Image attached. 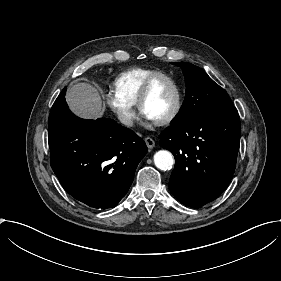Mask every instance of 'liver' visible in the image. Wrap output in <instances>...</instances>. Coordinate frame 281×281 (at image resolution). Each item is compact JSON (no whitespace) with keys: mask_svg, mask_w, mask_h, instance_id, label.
I'll return each mask as SVG.
<instances>
[{"mask_svg":"<svg viewBox=\"0 0 281 281\" xmlns=\"http://www.w3.org/2000/svg\"><path fill=\"white\" fill-rule=\"evenodd\" d=\"M69 110L80 119L97 120L103 118L105 110L99 90L90 82H77L65 93Z\"/></svg>","mask_w":281,"mask_h":281,"instance_id":"1","label":"liver"}]
</instances>
